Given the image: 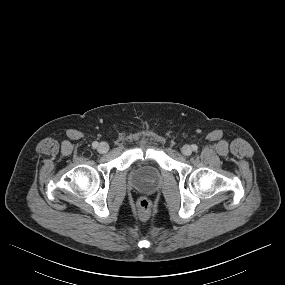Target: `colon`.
<instances>
[{"label": "colon", "mask_w": 285, "mask_h": 285, "mask_svg": "<svg viewBox=\"0 0 285 285\" xmlns=\"http://www.w3.org/2000/svg\"><path fill=\"white\" fill-rule=\"evenodd\" d=\"M138 212L141 216H147L151 210V203L147 198H140L137 203Z\"/></svg>", "instance_id": "1"}]
</instances>
